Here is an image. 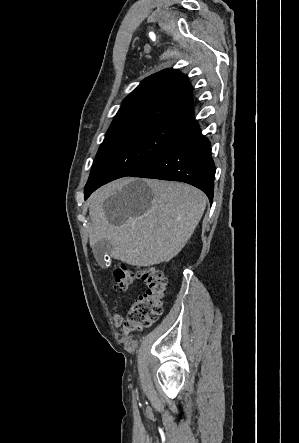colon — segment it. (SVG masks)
<instances>
[{"mask_svg":"<svg viewBox=\"0 0 299 443\" xmlns=\"http://www.w3.org/2000/svg\"><path fill=\"white\" fill-rule=\"evenodd\" d=\"M115 289L130 291L134 281L140 278L146 285L145 292L132 301L128 307L123 327L126 333L151 326L163 312V299L166 295V277L155 267L132 271L126 264L114 270Z\"/></svg>","mask_w":299,"mask_h":443,"instance_id":"obj_1","label":"colon"}]
</instances>
